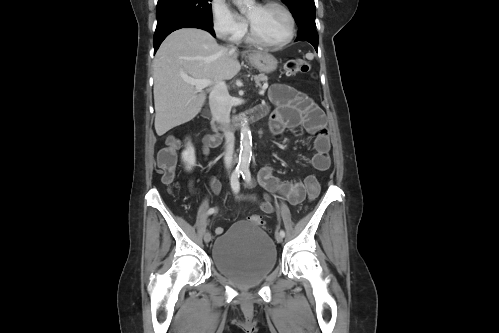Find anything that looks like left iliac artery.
I'll return each mask as SVG.
<instances>
[{
    "instance_id": "obj_1",
    "label": "left iliac artery",
    "mask_w": 499,
    "mask_h": 333,
    "mask_svg": "<svg viewBox=\"0 0 499 333\" xmlns=\"http://www.w3.org/2000/svg\"><path fill=\"white\" fill-rule=\"evenodd\" d=\"M241 174H242L243 179H244L247 183H249V182L251 181V173H250V170H249V168H248V167L243 168V170H242V173H241ZM280 234H281V236H282V237H284V236H285V232H284V230H280Z\"/></svg>"
}]
</instances>
